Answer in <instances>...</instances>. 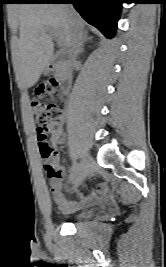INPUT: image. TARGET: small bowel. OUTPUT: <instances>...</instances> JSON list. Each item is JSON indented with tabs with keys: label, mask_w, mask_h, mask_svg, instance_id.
<instances>
[{
	"label": "small bowel",
	"mask_w": 166,
	"mask_h": 267,
	"mask_svg": "<svg viewBox=\"0 0 166 267\" xmlns=\"http://www.w3.org/2000/svg\"><path fill=\"white\" fill-rule=\"evenodd\" d=\"M65 116L62 113L60 118L51 122L48 127L50 133L49 142L53 147H56L62 138L64 132ZM59 159L58 151H54L52 156V162L55 164L58 171V175L50 180V191L55 203L59 209L66 213L71 214L79 211L87 206H90L102 199H104L108 192V186L104 183H100L95 189L91 190L88 194H78L77 201H68L60 191L61 180L64 178L65 172L63 168L57 165Z\"/></svg>",
	"instance_id": "1"
}]
</instances>
